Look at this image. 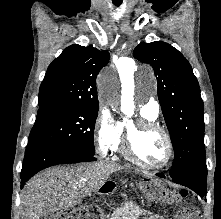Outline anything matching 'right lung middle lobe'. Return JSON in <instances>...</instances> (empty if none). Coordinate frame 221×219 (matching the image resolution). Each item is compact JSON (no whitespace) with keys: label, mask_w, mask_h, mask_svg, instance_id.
Instances as JSON below:
<instances>
[{"label":"right lung middle lobe","mask_w":221,"mask_h":219,"mask_svg":"<svg viewBox=\"0 0 221 219\" xmlns=\"http://www.w3.org/2000/svg\"><path fill=\"white\" fill-rule=\"evenodd\" d=\"M28 143L44 140L70 150L94 155V128L99 105L64 102L39 104Z\"/></svg>","instance_id":"right-lung-middle-lobe-1"}]
</instances>
